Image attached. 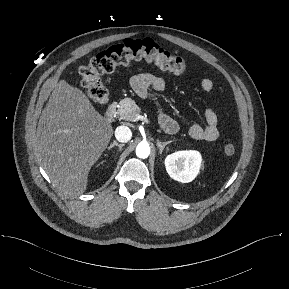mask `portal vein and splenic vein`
Listing matches in <instances>:
<instances>
[{
  "label": "portal vein and splenic vein",
  "instance_id": "portal-vein-and-splenic-vein-1",
  "mask_svg": "<svg viewBox=\"0 0 289 289\" xmlns=\"http://www.w3.org/2000/svg\"><path fill=\"white\" fill-rule=\"evenodd\" d=\"M136 120H144L145 122H149L148 121V119L146 118V117H144V116H142V115H138L137 117H136Z\"/></svg>",
  "mask_w": 289,
  "mask_h": 289
}]
</instances>
